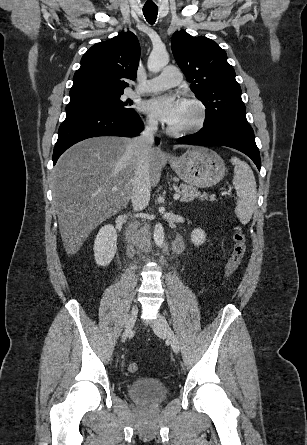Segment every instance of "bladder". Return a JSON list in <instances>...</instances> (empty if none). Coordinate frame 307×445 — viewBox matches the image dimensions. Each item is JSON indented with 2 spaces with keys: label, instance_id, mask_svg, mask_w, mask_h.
I'll return each mask as SVG.
<instances>
[{
  "label": "bladder",
  "instance_id": "bladder-1",
  "mask_svg": "<svg viewBox=\"0 0 307 445\" xmlns=\"http://www.w3.org/2000/svg\"><path fill=\"white\" fill-rule=\"evenodd\" d=\"M127 394L137 403L154 405L166 398L168 389L165 383L157 378H139L127 386Z\"/></svg>",
  "mask_w": 307,
  "mask_h": 445
}]
</instances>
